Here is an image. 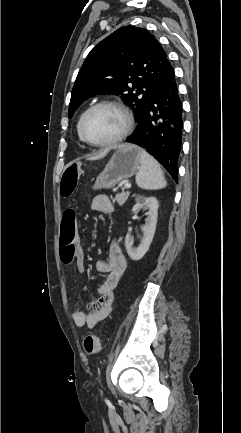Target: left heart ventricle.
Instances as JSON below:
<instances>
[{
    "instance_id": "obj_1",
    "label": "left heart ventricle",
    "mask_w": 241,
    "mask_h": 433,
    "mask_svg": "<svg viewBox=\"0 0 241 433\" xmlns=\"http://www.w3.org/2000/svg\"><path fill=\"white\" fill-rule=\"evenodd\" d=\"M124 126L119 111L111 107H100L92 111L85 120L83 131L92 142H104L117 136Z\"/></svg>"
}]
</instances>
